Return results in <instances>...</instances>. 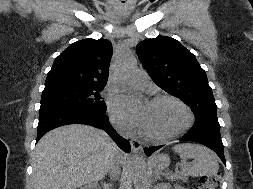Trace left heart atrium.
<instances>
[{
    "label": "left heart atrium",
    "instance_id": "obj_1",
    "mask_svg": "<svg viewBox=\"0 0 253 189\" xmlns=\"http://www.w3.org/2000/svg\"><path fill=\"white\" fill-rule=\"evenodd\" d=\"M114 112L117 119L122 124L143 129L147 119L148 105H144L138 110H124L121 107H118Z\"/></svg>",
    "mask_w": 253,
    "mask_h": 189
}]
</instances>
